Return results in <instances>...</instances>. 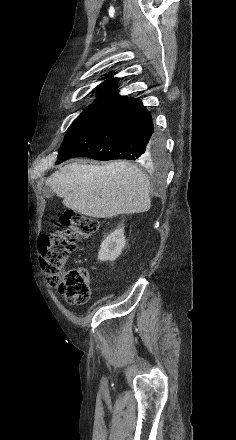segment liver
<instances>
[{
    "mask_svg": "<svg viewBox=\"0 0 236 440\" xmlns=\"http://www.w3.org/2000/svg\"><path fill=\"white\" fill-rule=\"evenodd\" d=\"M63 205L94 218L143 213L150 209L149 180L128 161L104 166L71 163L45 181Z\"/></svg>",
    "mask_w": 236,
    "mask_h": 440,
    "instance_id": "1",
    "label": "liver"
}]
</instances>
